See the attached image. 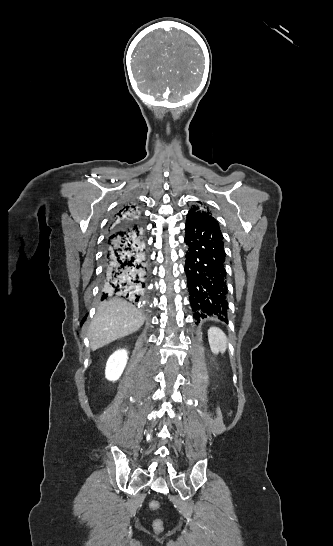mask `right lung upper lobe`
Here are the masks:
<instances>
[{"mask_svg":"<svg viewBox=\"0 0 333 546\" xmlns=\"http://www.w3.org/2000/svg\"><path fill=\"white\" fill-rule=\"evenodd\" d=\"M128 212L132 214L133 219L136 218L134 224L132 223L129 224L123 221V216H127L126 214ZM138 219H139V214H138V211L136 210V207L134 205L127 203L126 205L122 206V209L116 214L114 220L110 224V228L111 230H115L118 228H123L126 226H134V225L140 227V222L138 221Z\"/></svg>","mask_w":333,"mask_h":546,"instance_id":"cb5924a9","label":"right lung upper lobe"}]
</instances>
